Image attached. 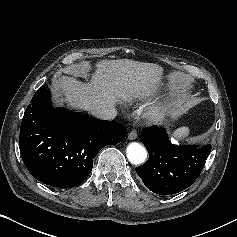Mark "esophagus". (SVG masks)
<instances>
[{
    "instance_id": "34e87169",
    "label": "esophagus",
    "mask_w": 237,
    "mask_h": 237,
    "mask_svg": "<svg viewBox=\"0 0 237 237\" xmlns=\"http://www.w3.org/2000/svg\"><path fill=\"white\" fill-rule=\"evenodd\" d=\"M137 138V131L136 130H131L128 133V139L129 140H135Z\"/></svg>"
}]
</instances>
